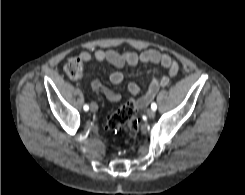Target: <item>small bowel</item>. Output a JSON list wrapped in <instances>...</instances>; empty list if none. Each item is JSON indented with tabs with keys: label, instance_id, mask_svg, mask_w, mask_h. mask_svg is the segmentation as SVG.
Masks as SVG:
<instances>
[{
	"label": "small bowel",
	"instance_id": "c3829d8e",
	"mask_svg": "<svg viewBox=\"0 0 245 195\" xmlns=\"http://www.w3.org/2000/svg\"><path fill=\"white\" fill-rule=\"evenodd\" d=\"M80 61L89 62L91 60H96L97 62H108L117 68H123L126 65H136L141 63H151L155 65H161L162 67L168 69L170 77H175L179 71V65L177 61L171 58L170 55L164 52H159L155 49H147L141 53H136L133 51H128L125 53H119L114 50H101L97 49L92 52L82 51L79 54ZM110 81L114 85H121L124 81V76L121 72H113L110 76ZM169 77L156 75L152 78L147 91L139 99V104L141 106L147 105L157 94L161 87H165L169 84ZM91 87L96 92L103 93L109 100L118 102L121 100V96L107 87H105L100 81L94 80L91 83ZM129 93L133 96H138L140 92L139 86L131 82L127 85Z\"/></svg>",
	"mask_w": 245,
	"mask_h": 195
}]
</instances>
